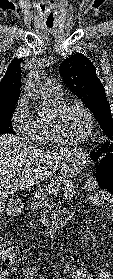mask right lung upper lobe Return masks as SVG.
<instances>
[{
    "label": "right lung upper lobe",
    "instance_id": "right-lung-upper-lobe-1",
    "mask_svg": "<svg viewBox=\"0 0 113 279\" xmlns=\"http://www.w3.org/2000/svg\"><path fill=\"white\" fill-rule=\"evenodd\" d=\"M21 61L22 59H13L0 82V110L16 105L20 94Z\"/></svg>",
    "mask_w": 113,
    "mask_h": 279
}]
</instances>
